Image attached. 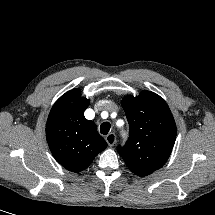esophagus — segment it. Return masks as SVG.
<instances>
[{"label": "esophagus", "instance_id": "34e87169", "mask_svg": "<svg viewBox=\"0 0 215 215\" xmlns=\"http://www.w3.org/2000/svg\"><path fill=\"white\" fill-rule=\"evenodd\" d=\"M105 139L107 144L112 147L116 142V135L114 133H109Z\"/></svg>", "mask_w": 215, "mask_h": 215}]
</instances>
